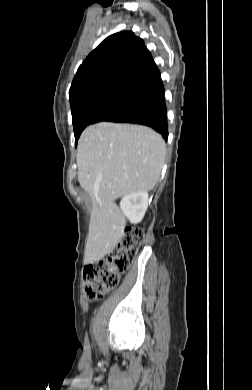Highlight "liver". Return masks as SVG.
Here are the masks:
<instances>
[{
    "label": "liver",
    "mask_w": 252,
    "mask_h": 390,
    "mask_svg": "<svg viewBox=\"0 0 252 390\" xmlns=\"http://www.w3.org/2000/svg\"><path fill=\"white\" fill-rule=\"evenodd\" d=\"M165 141L152 129L101 122L88 126L78 143V181L91 197L85 263L112 252L124 236L126 219L114 201L150 191L160 178Z\"/></svg>",
    "instance_id": "6515ba94"
}]
</instances>
